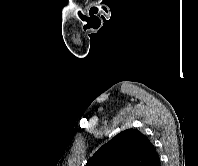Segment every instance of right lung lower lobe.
I'll return each instance as SVG.
<instances>
[{
  "label": "right lung lower lobe",
  "instance_id": "right-lung-lower-lobe-1",
  "mask_svg": "<svg viewBox=\"0 0 198 166\" xmlns=\"http://www.w3.org/2000/svg\"><path fill=\"white\" fill-rule=\"evenodd\" d=\"M160 158H156L155 160L152 161V163L150 164V166H160Z\"/></svg>",
  "mask_w": 198,
  "mask_h": 166
}]
</instances>
